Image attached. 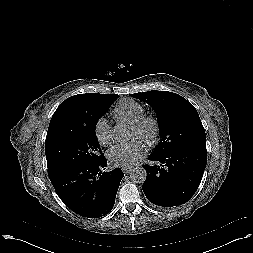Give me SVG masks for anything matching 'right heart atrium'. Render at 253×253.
<instances>
[{"label": "right heart atrium", "mask_w": 253, "mask_h": 253, "mask_svg": "<svg viewBox=\"0 0 253 253\" xmlns=\"http://www.w3.org/2000/svg\"><path fill=\"white\" fill-rule=\"evenodd\" d=\"M95 136L102 146H109L113 141V130L110 123L103 117L99 118L95 124Z\"/></svg>", "instance_id": "right-heart-atrium-1"}]
</instances>
